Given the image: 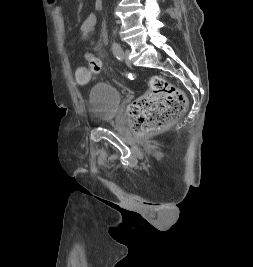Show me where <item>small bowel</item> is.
I'll use <instances>...</instances> for the list:
<instances>
[{"instance_id":"small-bowel-1","label":"small bowel","mask_w":253,"mask_h":267,"mask_svg":"<svg viewBox=\"0 0 253 267\" xmlns=\"http://www.w3.org/2000/svg\"><path fill=\"white\" fill-rule=\"evenodd\" d=\"M48 1L50 4L53 5L52 13L57 23L60 39H61V42L65 44L66 43V28H65V22H64V17H63V8L62 6L56 4V0H48ZM96 20H97L96 14L91 13L82 22L80 29L82 31V35L84 39L88 38L90 34L92 33V31L94 30Z\"/></svg>"}]
</instances>
